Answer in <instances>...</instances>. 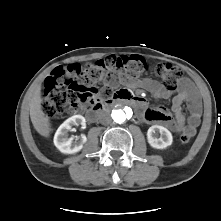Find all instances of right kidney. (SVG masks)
Listing matches in <instances>:
<instances>
[{"instance_id": "right-kidney-1", "label": "right kidney", "mask_w": 221, "mask_h": 221, "mask_svg": "<svg viewBox=\"0 0 221 221\" xmlns=\"http://www.w3.org/2000/svg\"><path fill=\"white\" fill-rule=\"evenodd\" d=\"M86 120L81 115H74L64 121L57 129L54 135V145L58 150L64 154H74L79 152L83 145L86 143L87 138L85 135H81L80 138H68V131L71 130L72 126L85 125Z\"/></svg>"}]
</instances>
